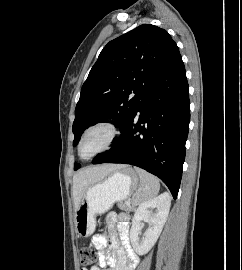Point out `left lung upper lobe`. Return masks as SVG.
<instances>
[{
  "instance_id": "5c2ea615",
  "label": "left lung upper lobe",
  "mask_w": 242,
  "mask_h": 270,
  "mask_svg": "<svg viewBox=\"0 0 242 270\" xmlns=\"http://www.w3.org/2000/svg\"><path fill=\"white\" fill-rule=\"evenodd\" d=\"M179 56L167 31L154 25H141L110 41L82 86L72 128L74 145L83 131L100 119H115L111 123L122 131L148 88ZM78 168L75 163L74 170Z\"/></svg>"
}]
</instances>
